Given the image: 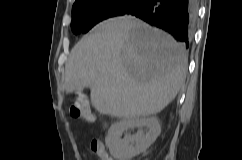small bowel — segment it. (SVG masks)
<instances>
[{
  "label": "small bowel",
  "mask_w": 242,
  "mask_h": 160,
  "mask_svg": "<svg viewBox=\"0 0 242 160\" xmlns=\"http://www.w3.org/2000/svg\"><path fill=\"white\" fill-rule=\"evenodd\" d=\"M97 145V148H95ZM92 149L101 155V160H113V158L105 151L104 146L101 142L93 141L91 144Z\"/></svg>",
  "instance_id": "small-bowel-1"
}]
</instances>
